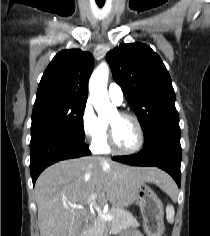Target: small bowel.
<instances>
[{"instance_id": "1", "label": "small bowel", "mask_w": 210, "mask_h": 236, "mask_svg": "<svg viewBox=\"0 0 210 236\" xmlns=\"http://www.w3.org/2000/svg\"><path fill=\"white\" fill-rule=\"evenodd\" d=\"M122 236H139V235L132 233V232H127V233L123 234Z\"/></svg>"}]
</instances>
